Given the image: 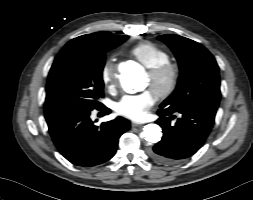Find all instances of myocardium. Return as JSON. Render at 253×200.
Segmentation results:
<instances>
[{
  "label": "myocardium",
  "instance_id": "myocardium-1",
  "mask_svg": "<svg viewBox=\"0 0 253 200\" xmlns=\"http://www.w3.org/2000/svg\"><path fill=\"white\" fill-rule=\"evenodd\" d=\"M147 74L153 82L151 88L154 93L157 97L164 99L175 91L179 82L180 71L175 63L167 61L148 68Z\"/></svg>",
  "mask_w": 253,
  "mask_h": 200
}]
</instances>
